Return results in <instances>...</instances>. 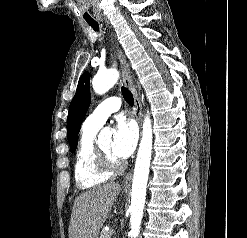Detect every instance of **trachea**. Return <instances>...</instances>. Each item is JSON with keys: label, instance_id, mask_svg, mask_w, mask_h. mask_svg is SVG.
I'll list each match as a JSON object with an SVG mask.
<instances>
[{"label": "trachea", "instance_id": "obj_1", "mask_svg": "<svg viewBox=\"0 0 247 238\" xmlns=\"http://www.w3.org/2000/svg\"><path fill=\"white\" fill-rule=\"evenodd\" d=\"M88 24L95 30V31H99V25L97 22L95 21H88ZM122 91V95L125 99V101L132 106L134 104V98L132 93L126 88V87H122L121 88Z\"/></svg>", "mask_w": 247, "mask_h": 238}]
</instances>
